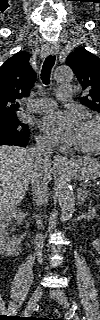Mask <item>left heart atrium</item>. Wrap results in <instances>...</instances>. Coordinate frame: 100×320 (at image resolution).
I'll list each match as a JSON object with an SVG mask.
<instances>
[{"label":"left heart atrium","instance_id":"left-heart-atrium-1","mask_svg":"<svg viewBox=\"0 0 100 320\" xmlns=\"http://www.w3.org/2000/svg\"><path fill=\"white\" fill-rule=\"evenodd\" d=\"M55 143L75 144L80 130V119L71 112L55 111L46 114L39 123Z\"/></svg>","mask_w":100,"mask_h":320}]
</instances>
